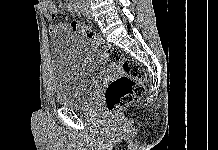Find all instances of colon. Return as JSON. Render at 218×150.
Listing matches in <instances>:
<instances>
[{"mask_svg": "<svg viewBox=\"0 0 218 150\" xmlns=\"http://www.w3.org/2000/svg\"><path fill=\"white\" fill-rule=\"evenodd\" d=\"M70 27L72 31L82 33L113 64L121 69V74L112 79L105 89V104L109 112H116L143 95L145 72L140 63L126 57L120 49L113 47L80 22L73 20Z\"/></svg>", "mask_w": 218, "mask_h": 150, "instance_id": "5ec220e1", "label": "colon"}]
</instances>
